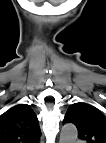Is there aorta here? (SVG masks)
I'll list each match as a JSON object with an SVG mask.
<instances>
[{
    "label": "aorta",
    "mask_w": 106,
    "mask_h": 143,
    "mask_svg": "<svg viewBox=\"0 0 106 143\" xmlns=\"http://www.w3.org/2000/svg\"><path fill=\"white\" fill-rule=\"evenodd\" d=\"M77 136L76 126L71 123L65 124L60 133V143H75Z\"/></svg>",
    "instance_id": "1"
}]
</instances>
